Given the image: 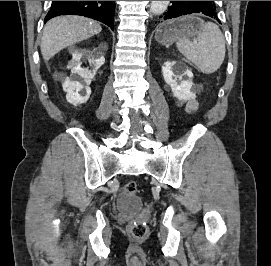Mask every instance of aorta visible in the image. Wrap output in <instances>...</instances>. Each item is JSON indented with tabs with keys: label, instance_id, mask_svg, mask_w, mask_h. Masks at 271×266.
<instances>
[{
	"label": "aorta",
	"instance_id": "762f6f07",
	"mask_svg": "<svg viewBox=\"0 0 271 266\" xmlns=\"http://www.w3.org/2000/svg\"><path fill=\"white\" fill-rule=\"evenodd\" d=\"M169 2L170 1H151L150 5L151 12L154 15L163 14L169 5Z\"/></svg>",
	"mask_w": 271,
	"mask_h": 266
}]
</instances>
